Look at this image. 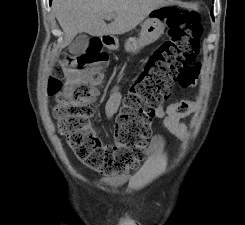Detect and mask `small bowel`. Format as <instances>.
I'll return each instance as SVG.
<instances>
[{
	"label": "small bowel",
	"mask_w": 245,
	"mask_h": 225,
	"mask_svg": "<svg viewBox=\"0 0 245 225\" xmlns=\"http://www.w3.org/2000/svg\"><path fill=\"white\" fill-rule=\"evenodd\" d=\"M123 84H115L105 101L104 104V114L105 118L112 122L115 118L121 102H122V90ZM155 118L157 120H162L168 131L182 139L184 137V126L180 122V116L176 114V104H170L165 106L164 104H160L157 107ZM163 146V138L160 136H155L152 138L151 147L149 149V153L151 155H157L160 153Z\"/></svg>",
	"instance_id": "1"
}]
</instances>
